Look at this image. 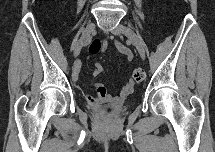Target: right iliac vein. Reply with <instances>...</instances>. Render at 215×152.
Wrapping results in <instances>:
<instances>
[{
    "instance_id": "1",
    "label": "right iliac vein",
    "mask_w": 215,
    "mask_h": 152,
    "mask_svg": "<svg viewBox=\"0 0 215 152\" xmlns=\"http://www.w3.org/2000/svg\"><path fill=\"white\" fill-rule=\"evenodd\" d=\"M94 31H95V25H94V23H89V24L85 27V29L83 30L82 35H81L79 41L77 42V44H76V46H75V48H74V56H75V57H78V55H79V53H80V51H81V49H82V46H83L84 42H85L91 35H93Z\"/></svg>"
}]
</instances>
